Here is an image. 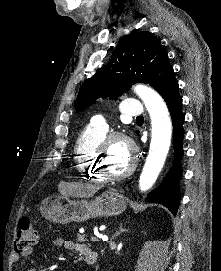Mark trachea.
I'll use <instances>...</instances> for the list:
<instances>
[{
  "label": "trachea",
  "instance_id": "1",
  "mask_svg": "<svg viewBox=\"0 0 221 271\" xmlns=\"http://www.w3.org/2000/svg\"><path fill=\"white\" fill-rule=\"evenodd\" d=\"M137 119H143V116H137Z\"/></svg>",
  "mask_w": 221,
  "mask_h": 271
}]
</instances>
